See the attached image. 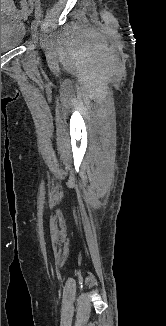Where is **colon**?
Returning a JSON list of instances; mask_svg holds the SVG:
<instances>
[{"instance_id": "1", "label": "colon", "mask_w": 166, "mask_h": 326, "mask_svg": "<svg viewBox=\"0 0 166 326\" xmlns=\"http://www.w3.org/2000/svg\"><path fill=\"white\" fill-rule=\"evenodd\" d=\"M19 7L23 13H27L30 10V4L26 0H21Z\"/></svg>"}]
</instances>
